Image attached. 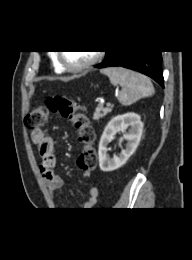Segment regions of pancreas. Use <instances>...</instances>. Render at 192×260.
<instances>
[{"label":"pancreas","instance_id":"1","mask_svg":"<svg viewBox=\"0 0 192 260\" xmlns=\"http://www.w3.org/2000/svg\"><path fill=\"white\" fill-rule=\"evenodd\" d=\"M112 111V106L108 105L107 107H104L102 104L98 105L96 108L94 114H93V119L94 120H99L100 118L105 117L108 113Z\"/></svg>","mask_w":192,"mask_h":260}]
</instances>
